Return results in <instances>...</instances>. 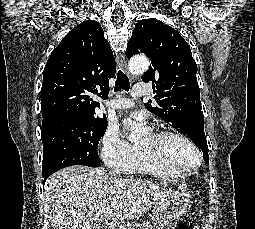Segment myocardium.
<instances>
[{
  "label": "myocardium",
  "mask_w": 255,
  "mask_h": 229,
  "mask_svg": "<svg viewBox=\"0 0 255 229\" xmlns=\"http://www.w3.org/2000/svg\"><path fill=\"white\" fill-rule=\"evenodd\" d=\"M153 136L155 138L161 139V138H165V137H177L183 141H185L196 153L197 157H198V161L194 166L191 167H186V168H182V169H177L172 167L171 165L165 163L156 153H154L153 151L146 149V148H142L140 147L145 153L146 155L152 159L158 166L162 167L163 169L167 170L169 173H171L174 176H184L186 174H189L191 172L196 171L203 162V155L200 151V149L198 148V146L195 144V142L188 137L187 135H185L184 133H181L179 131H175V130H165V131H159L153 134Z\"/></svg>",
  "instance_id": "myocardium-1"
}]
</instances>
